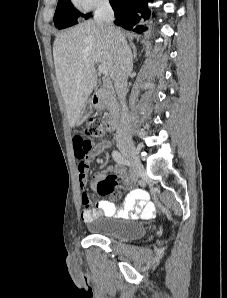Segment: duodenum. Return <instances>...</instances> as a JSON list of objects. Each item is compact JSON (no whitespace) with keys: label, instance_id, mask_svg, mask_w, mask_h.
I'll use <instances>...</instances> for the list:
<instances>
[{"label":"duodenum","instance_id":"1","mask_svg":"<svg viewBox=\"0 0 227 298\" xmlns=\"http://www.w3.org/2000/svg\"><path fill=\"white\" fill-rule=\"evenodd\" d=\"M93 103L99 109L109 110L105 119V126L109 131L115 130L118 126L120 111L111 91L107 89L97 90L93 96Z\"/></svg>","mask_w":227,"mask_h":298}]
</instances>
